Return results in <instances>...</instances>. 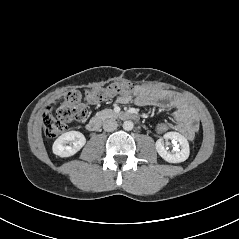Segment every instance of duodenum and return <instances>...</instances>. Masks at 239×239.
Masks as SVG:
<instances>
[{
  "label": "duodenum",
  "mask_w": 239,
  "mask_h": 239,
  "mask_svg": "<svg viewBox=\"0 0 239 239\" xmlns=\"http://www.w3.org/2000/svg\"><path fill=\"white\" fill-rule=\"evenodd\" d=\"M113 116L121 120H138L139 118L137 114L132 112H119L113 114ZM105 117V115L92 117L87 123V129L92 132L97 131L101 127Z\"/></svg>",
  "instance_id": "410a0bca"
}]
</instances>
